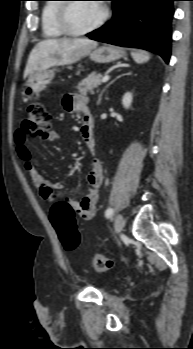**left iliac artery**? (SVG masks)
<instances>
[{
    "instance_id": "left-iliac-artery-1",
    "label": "left iliac artery",
    "mask_w": 193,
    "mask_h": 349,
    "mask_svg": "<svg viewBox=\"0 0 193 349\" xmlns=\"http://www.w3.org/2000/svg\"><path fill=\"white\" fill-rule=\"evenodd\" d=\"M112 214H113V209L112 208H108L106 210V212H105V215H106L107 218L110 217Z\"/></svg>"
}]
</instances>
